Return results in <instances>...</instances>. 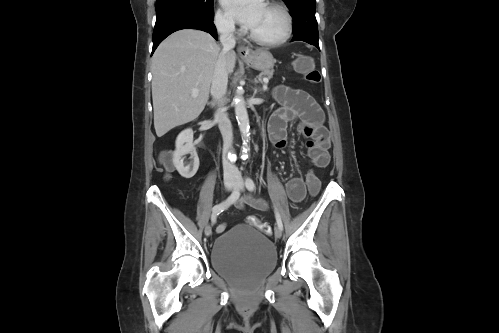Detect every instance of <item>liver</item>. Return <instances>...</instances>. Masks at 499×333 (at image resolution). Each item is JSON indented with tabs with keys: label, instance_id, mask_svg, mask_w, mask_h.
<instances>
[{
	"label": "liver",
	"instance_id": "obj_1",
	"mask_svg": "<svg viewBox=\"0 0 499 333\" xmlns=\"http://www.w3.org/2000/svg\"><path fill=\"white\" fill-rule=\"evenodd\" d=\"M221 54L211 35L195 29L176 31L158 46L151 65L154 127L158 137L201 114ZM225 59L227 73H232L235 52H226ZM195 88L198 94L193 97Z\"/></svg>",
	"mask_w": 499,
	"mask_h": 333
}]
</instances>
